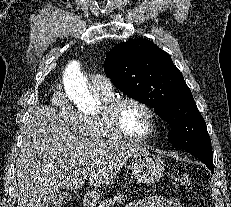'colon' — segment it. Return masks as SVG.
Returning a JSON list of instances; mask_svg holds the SVG:
<instances>
[{
	"label": "colon",
	"mask_w": 231,
	"mask_h": 207,
	"mask_svg": "<svg viewBox=\"0 0 231 207\" xmlns=\"http://www.w3.org/2000/svg\"><path fill=\"white\" fill-rule=\"evenodd\" d=\"M175 180L183 188H190L191 187V179L187 175H184V174L176 175Z\"/></svg>",
	"instance_id": "5ec220e1"
}]
</instances>
